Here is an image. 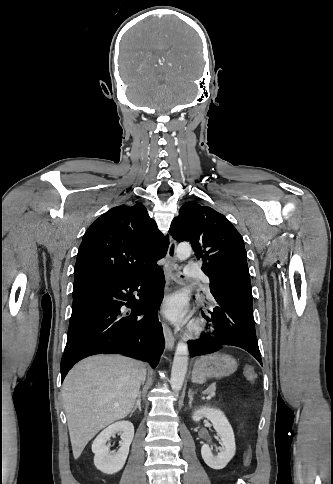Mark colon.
Returning a JSON list of instances; mask_svg holds the SVG:
<instances>
[{
  "label": "colon",
  "instance_id": "1",
  "mask_svg": "<svg viewBox=\"0 0 333 484\" xmlns=\"http://www.w3.org/2000/svg\"><path fill=\"white\" fill-rule=\"evenodd\" d=\"M243 374L250 383H254L257 379V373L254 370V368L250 365L244 366ZM251 460H252V451L249 447H247L244 452V458H243L244 466L248 467L251 464Z\"/></svg>",
  "mask_w": 333,
  "mask_h": 484
}]
</instances>
